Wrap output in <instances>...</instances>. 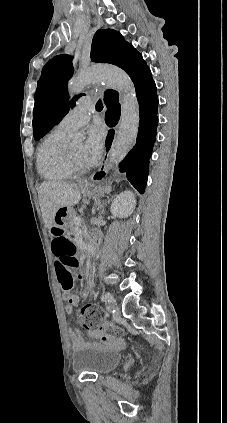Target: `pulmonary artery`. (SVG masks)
Returning <instances> with one entry per match:
<instances>
[{
	"label": "pulmonary artery",
	"instance_id": "obj_1",
	"mask_svg": "<svg viewBox=\"0 0 227 423\" xmlns=\"http://www.w3.org/2000/svg\"><path fill=\"white\" fill-rule=\"evenodd\" d=\"M91 110L92 103L89 100L81 101L61 120L58 127L67 132L77 130L89 122Z\"/></svg>",
	"mask_w": 227,
	"mask_h": 423
}]
</instances>
